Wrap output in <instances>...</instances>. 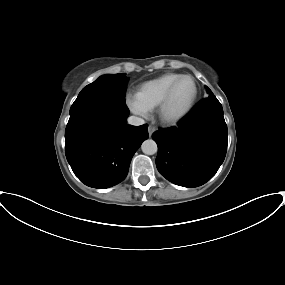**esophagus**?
I'll list each match as a JSON object with an SVG mask.
<instances>
[{
    "instance_id": "1",
    "label": "esophagus",
    "mask_w": 285,
    "mask_h": 285,
    "mask_svg": "<svg viewBox=\"0 0 285 285\" xmlns=\"http://www.w3.org/2000/svg\"><path fill=\"white\" fill-rule=\"evenodd\" d=\"M155 130H156V128H155L154 126H152V125H150V126L148 127V133H149V136H150V137H151L152 134L155 132Z\"/></svg>"
}]
</instances>
